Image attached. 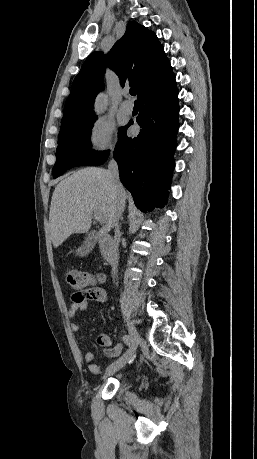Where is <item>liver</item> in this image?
I'll return each mask as SVG.
<instances>
[{
    "label": "liver",
    "instance_id": "6515ba94",
    "mask_svg": "<svg viewBox=\"0 0 257 459\" xmlns=\"http://www.w3.org/2000/svg\"><path fill=\"white\" fill-rule=\"evenodd\" d=\"M122 191L126 199L123 187ZM115 201V191L103 168H83L59 182L49 212L53 246L59 247L71 234L88 232L94 211L104 218L100 235L107 234L114 225Z\"/></svg>",
    "mask_w": 257,
    "mask_h": 459
}]
</instances>
